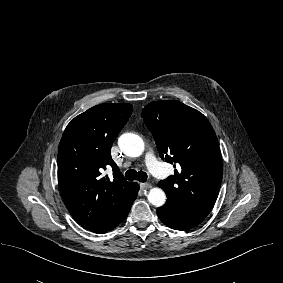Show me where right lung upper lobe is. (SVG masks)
Returning <instances> with one entry per match:
<instances>
[{
  "label": "right lung upper lobe",
  "instance_id": "right-lung-upper-lobe-1",
  "mask_svg": "<svg viewBox=\"0 0 283 283\" xmlns=\"http://www.w3.org/2000/svg\"><path fill=\"white\" fill-rule=\"evenodd\" d=\"M131 104L106 103L75 117L58 150V177L64 203L84 228L99 233L126 212L138 193L111 157V146L131 113ZM112 167L113 178L103 176Z\"/></svg>",
  "mask_w": 283,
  "mask_h": 283
}]
</instances>
